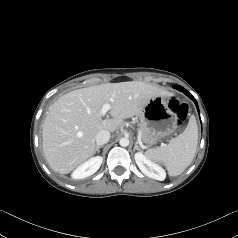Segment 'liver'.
Masks as SVG:
<instances>
[{"label":"liver","instance_id":"liver-1","mask_svg":"<svg viewBox=\"0 0 238 238\" xmlns=\"http://www.w3.org/2000/svg\"><path fill=\"white\" fill-rule=\"evenodd\" d=\"M169 93L141 81L106 83L77 89L52 104L43 124V152L50 167L68 174L95 154L100 130L116 131L124 119L139 114L155 96ZM111 105L112 118L103 119L102 106Z\"/></svg>","mask_w":238,"mask_h":238}]
</instances>
